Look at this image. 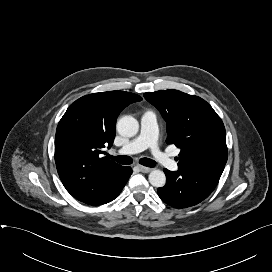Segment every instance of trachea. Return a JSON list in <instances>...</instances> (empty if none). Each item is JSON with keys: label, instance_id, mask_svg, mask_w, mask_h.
<instances>
[{"label": "trachea", "instance_id": "3493384b", "mask_svg": "<svg viewBox=\"0 0 272 272\" xmlns=\"http://www.w3.org/2000/svg\"><path fill=\"white\" fill-rule=\"evenodd\" d=\"M109 158L122 165H130L133 163V159L130 156H109ZM139 163L146 167H154L156 165V162L149 158H141Z\"/></svg>", "mask_w": 272, "mask_h": 272}]
</instances>
